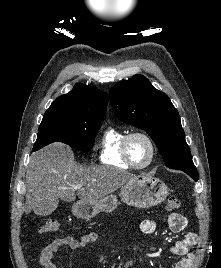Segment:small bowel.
<instances>
[{"label": "small bowel", "mask_w": 221, "mask_h": 268, "mask_svg": "<svg viewBox=\"0 0 221 268\" xmlns=\"http://www.w3.org/2000/svg\"><path fill=\"white\" fill-rule=\"evenodd\" d=\"M168 226L172 232L178 233L187 226V219L177 213H172L168 217ZM156 222L153 219H145L140 224V229L145 234H152L156 230ZM97 240V234L89 232L80 237L63 236L55 239L52 243L45 246L40 254L39 263L43 268H57L54 256L61 248L69 247L71 249H78L87 247ZM197 241L195 233H188L184 239L174 242L169 251L172 255L184 257L179 260L173 268H191L194 253L193 247ZM163 268V267H160Z\"/></svg>", "instance_id": "obj_1"}]
</instances>
